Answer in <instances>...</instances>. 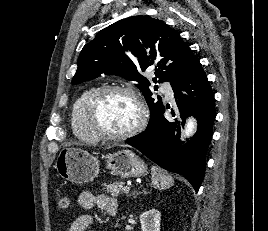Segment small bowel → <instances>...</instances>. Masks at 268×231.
Returning a JSON list of instances; mask_svg holds the SVG:
<instances>
[{"label": "small bowel", "instance_id": "small-bowel-1", "mask_svg": "<svg viewBox=\"0 0 268 231\" xmlns=\"http://www.w3.org/2000/svg\"><path fill=\"white\" fill-rule=\"evenodd\" d=\"M78 205L83 209H92L98 207L107 215H115L118 204L115 198L107 195H94L91 192H81L77 199ZM93 223L91 215H82L76 218L66 231H88Z\"/></svg>", "mask_w": 268, "mask_h": 231}]
</instances>
